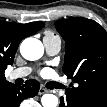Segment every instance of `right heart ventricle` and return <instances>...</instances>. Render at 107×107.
Returning <instances> with one entry per match:
<instances>
[{
    "mask_svg": "<svg viewBox=\"0 0 107 107\" xmlns=\"http://www.w3.org/2000/svg\"><path fill=\"white\" fill-rule=\"evenodd\" d=\"M46 36H54L51 32H47Z\"/></svg>",
    "mask_w": 107,
    "mask_h": 107,
    "instance_id": "1",
    "label": "right heart ventricle"
}]
</instances>
